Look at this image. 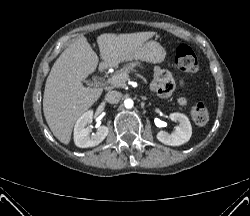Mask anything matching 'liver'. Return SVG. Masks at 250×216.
<instances>
[{
    "instance_id": "liver-1",
    "label": "liver",
    "mask_w": 250,
    "mask_h": 216,
    "mask_svg": "<svg viewBox=\"0 0 250 216\" xmlns=\"http://www.w3.org/2000/svg\"><path fill=\"white\" fill-rule=\"evenodd\" d=\"M155 34H102L97 38L101 59L113 64ZM98 62L97 54L83 36L70 44L51 68L45 84L43 112L52 133L63 144H69L74 123L102 94V88H88L82 84L96 70Z\"/></svg>"
}]
</instances>
